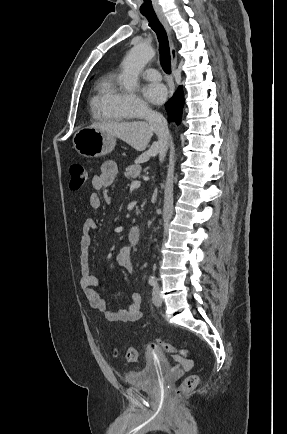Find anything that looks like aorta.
<instances>
[{
  "instance_id": "762f6f07",
  "label": "aorta",
  "mask_w": 287,
  "mask_h": 434,
  "mask_svg": "<svg viewBox=\"0 0 287 434\" xmlns=\"http://www.w3.org/2000/svg\"><path fill=\"white\" fill-rule=\"evenodd\" d=\"M154 55L152 47L146 44H137L129 51L122 63L121 78L127 91H132L137 87L140 72Z\"/></svg>"
}]
</instances>
